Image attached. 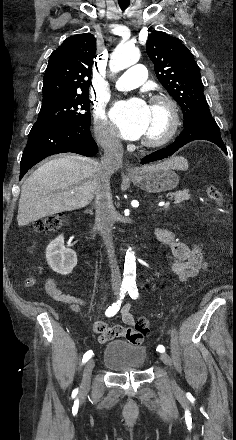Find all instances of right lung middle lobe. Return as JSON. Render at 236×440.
Instances as JSON below:
<instances>
[{
  "label": "right lung middle lobe",
  "instance_id": "obj_1",
  "mask_svg": "<svg viewBox=\"0 0 236 440\" xmlns=\"http://www.w3.org/2000/svg\"><path fill=\"white\" fill-rule=\"evenodd\" d=\"M40 122L90 127L89 94L43 104L36 123Z\"/></svg>",
  "mask_w": 236,
  "mask_h": 440
}]
</instances>
